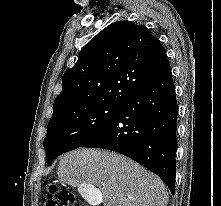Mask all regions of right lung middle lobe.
I'll list each match as a JSON object with an SVG mask.
<instances>
[{"label": "right lung middle lobe", "instance_id": "dd1d6c3e", "mask_svg": "<svg viewBox=\"0 0 221 206\" xmlns=\"http://www.w3.org/2000/svg\"><path fill=\"white\" fill-rule=\"evenodd\" d=\"M121 105L93 103L53 114L44 139L47 165L57 156L81 147L105 128Z\"/></svg>", "mask_w": 221, "mask_h": 206}]
</instances>
